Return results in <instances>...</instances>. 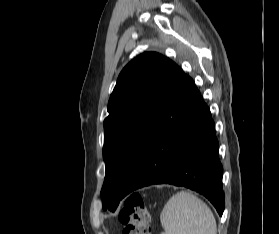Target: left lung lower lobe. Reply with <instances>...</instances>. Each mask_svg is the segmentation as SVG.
Wrapping results in <instances>:
<instances>
[{
  "mask_svg": "<svg viewBox=\"0 0 279 234\" xmlns=\"http://www.w3.org/2000/svg\"><path fill=\"white\" fill-rule=\"evenodd\" d=\"M208 106L193 80L176 70L141 142L121 198L151 184L184 186L224 211L223 168Z\"/></svg>",
  "mask_w": 279,
  "mask_h": 234,
  "instance_id": "obj_1",
  "label": "left lung lower lobe"
}]
</instances>
